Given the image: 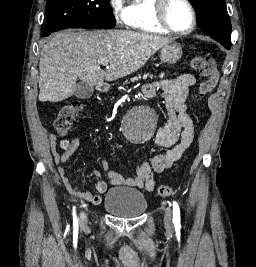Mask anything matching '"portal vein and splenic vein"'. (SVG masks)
<instances>
[{"label": "portal vein and splenic vein", "mask_w": 256, "mask_h": 267, "mask_svg": "<svg viewBox=\"0 0 256 267\" xmlns=\"http://www.w3.org/2000/svg\"><path fill=\"white\" fill-rule=\"evenodd\" d=\"M101 64H103V66H107V62H101Z\"/></svg>", "instance_id": "1"}]
</instances>
